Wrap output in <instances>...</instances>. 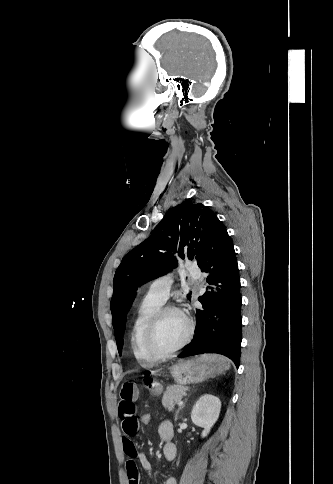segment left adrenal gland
<instances>
[{
  "instance_id": "a2214340",
  "label": "left adrenal gland",
  "mask_w": 333,
  "mask_h": 484,
  "mask_svg": "<svg viewBox=\"0 0 333 484\" xmlns=\"http://www.w3.org/2000/svg\"><path fill=\"white\" fill-rule=\"evenodd\" d=\"M184 405H185V404H183V405H182V406H181V407H180V408L177 410V412H176V414H175V417H174V418H175V420H177V418H178V414H179V411H180V410H181V409L184 407Z\"/></svg>"
}]
</instances>
